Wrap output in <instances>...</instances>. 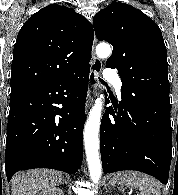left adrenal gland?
<instances>
[{
    "instance_id": "1",
    "label": "left adrenal gland",
    "mask_w": 178,
    "mask_h": 195,
    "mask_svg": "<svg viewBox=\"0 0 178 195\" xmlns=\"http://www.w3.org/2000/svg\"><path fill=\"white\" fill-rule=\"evenodd\" d=\"M112 187H113V188L115 187V184H114V181H113V180L110 181V186H109V188H112Z\"/></svg>"
}]
</instances>
